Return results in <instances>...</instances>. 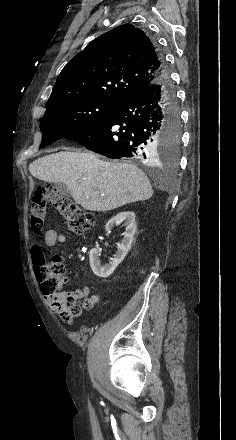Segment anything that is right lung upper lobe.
Returning <instances> with one entry per match:
<instances>
[{"label":"right lung upper lobe","mask_w":236,"mask_h":440,"mask_svg":"<svg viewBox=\"0 0 236 440\" xmlns=\"http://www.w3.org/2000/svg\"><path fill=\"white\" fill-rule=\"evenodd\" d=\"M162 75L149 37L125 24L97 37L61 71L48 102L94 98L122 103Z\"/></svg>","instance_id":"obj_1"}]
</instances>
